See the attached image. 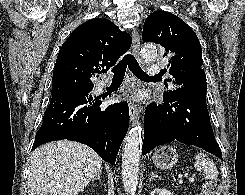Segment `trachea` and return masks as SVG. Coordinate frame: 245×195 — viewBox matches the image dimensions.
<instances>
[{
    "label": "trachea",
    "instance_id": "1",
    "mask_svg": "<svg viewBox=\"0 0 245 195\" xmlns=\"http://www.w3.org/2000/svg\"><path fill=\"white\" fill-rule=\"evenodd\" d=\"M127 66L130 69V71H132L133 74L141 80L151 79L159 76V75L149 76L148 74H146L138 64L135 57L132 54H127L112 69L113 81H123Z\"/></svg>",
    "mask_w": 245,
    "mask_h": 195
}]
</instances>
